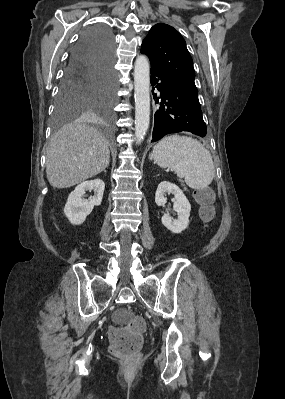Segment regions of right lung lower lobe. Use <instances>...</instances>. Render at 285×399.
I'll use <instances>...</instances> for the list:
<instances>
[{
	"instance_id": "98d812e1",
	"label": "right lung lower lobe",
	"mask_w": 285,
	"mask_h": 399,
	"mask_svg": "<svg viewBox=\"0 0 285 399\" xmlns=\"http://www.w3.org/2000/svg\"><path fill=\"white\" fill-rule=\"evenodd\" d=\"M114 40L105 25L87 29L72 52L64 78L90 82L114 81Z\"/></svg>"
}]
</instances>
